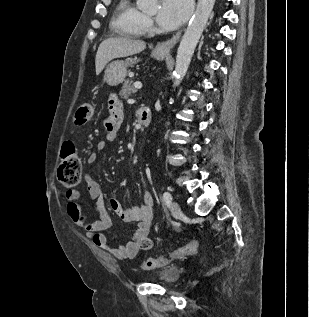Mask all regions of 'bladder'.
Masks as SVG:
<instances>
[{"label":"bladder","mask_w":309,"mask_h":317,"mask_svg":"<svg viewBox=\"0 0 309 317\" xmlns=\"http://www.w3.org/2000/svg\"><path fill=\"white\" fill-rule=\"evenodd\" d=\"M180 276L181 269L177 266L170 265L162 268L159 272H157L156 279L159 282L171 284L178 281Z\"/></svg>","instance_id":"31cf9c89"}]
</instances>
